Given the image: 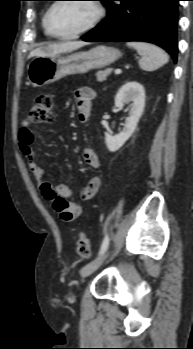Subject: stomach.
I'll use <instances>...</instances> for the list:
<instances>
[{
  "instance_id": "0dacf381",
  "label": "stomach",
  "mask_w": 193,
  "mask_h": 349,
  "mask_svg": "<svg viewBox=\"0 0 193 349\" xmlns=\"http://www.w3.org/2000/svg\"><path fill=\"white\" fill-rule=\"evenodd\" d=\"M121 55V51L114 47L99 45L89 51L66 56L36 57L27 67V78L34 87H41L67 75L84 74L92 69L104 68Z\"/></svg>"
}]
</instances>
